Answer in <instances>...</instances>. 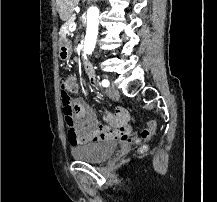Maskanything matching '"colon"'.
I'll use <instances>...</instances> for the list:
<instances>
[{
	"mask_svg": "<svg viewBox=\"0 0 217 202\" xmlns=\"http://www.w3.org/2000/svg\"><path fill=\"white\" fill-rule=\"evenodd\" d=\"M74 81L70 78H64L60 82V97H61V104L63 108V116H64V122L65 126L67 128V131H77L75 124H74V118H73V112L71 108V97L69 91L73 87ZM156 127V121H149L148 127H144V131L141 133L143 136V141H149L151 140V136L154 134V131L151 128Z\"/></svg>",
	"mask_w": 217,
	"mask_h": 202,
	"instance_id": "5ec220e1",
	"label": "colon"
}]
</instances>
